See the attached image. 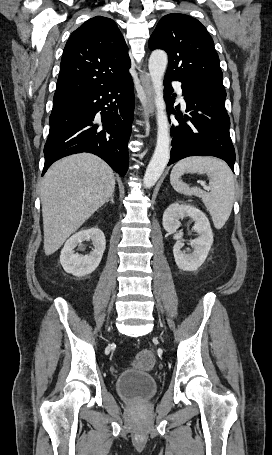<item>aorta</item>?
<instances>
[{"label": "aorta", "instance_id": "aorta-1", "mask_svg": "<svg viewBox=\"0 0 272 455\" xmlns=\"http://www.w3.org/2000/svg\"><path fill=\"white\" fill-rule=\"evenodd\" d=\"M168 63L167 54L163 50L151 53L148 63L149 74L155 92L157 142L154 154L146 169L143 183L151 188L162 175L170 157L169 122L166 113V104L163 95V77Z\"/></svg>", "mask_w": 272, "mask_h": 455}]
</instances>
